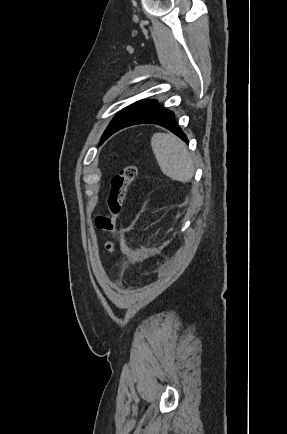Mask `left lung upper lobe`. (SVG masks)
<instances>
[{
	"label": "left lung upper lobe",
	"instance_id": "1",
	"mask_svg": "<svg viewBox=\"0 0 287 434\" xmlns=\"http://www.w3.org/2000/svg\"><path fill=\"white\" fill-rule=\"evenodd\" d=\"M155 100H139L129 107L121 110L111 121L107 129L105 130L100 143L104 142L110 137L128 118L140 112L144 108L155 103Z\"/></svg>",
	"mask_w": 287,
	"mask_h": 434
}]
</instances>
